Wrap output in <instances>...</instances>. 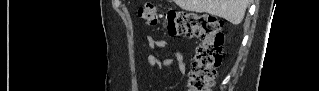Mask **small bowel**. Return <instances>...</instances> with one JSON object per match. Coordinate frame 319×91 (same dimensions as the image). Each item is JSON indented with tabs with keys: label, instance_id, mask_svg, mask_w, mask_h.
Listing matches in <instances>:
<instances>
[{
	"label": "small bowel",
	"instance_id": "obj_1",
	"mask_svg": "<svg viewBox=\"0 0 319 91\" xmlns=\"http://www.w3.org/2000/svg\"><path fill=\"white\" fill-rule=\"evenodd\" d=\"M148 45L154 50H167L168 57L164 60H159L155 55H148L145 59V64L149 68H160L162 66H176L180 74L186 71L184 56L180 51L171 48L169 41L165 39H157L153 36L147 37Z\"/></svg>",
	"mask_w": 319,
	"mask_h": 91
}]
</instances>
